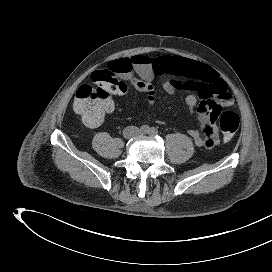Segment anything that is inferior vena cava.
<instances>
[{
    "label": "inferior vena cava",
    "mask_w": 272,
    "mask_h": 272,
    "mask_svg": "<svg viewBox=\"0 0 272 272\" xmlns=\"http://www.w3.org/2000/svg\"><path fill=\"white\" fill-rule=\"evenodd\" d=\"M125 137H129L131 135H135L138 133V128L135 126H128L125 128V130L123 131Z\"/></svg>",
    "instance_id": "inferior-vena-cava-1"
}]
</instances>
